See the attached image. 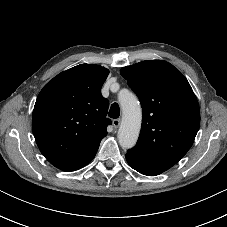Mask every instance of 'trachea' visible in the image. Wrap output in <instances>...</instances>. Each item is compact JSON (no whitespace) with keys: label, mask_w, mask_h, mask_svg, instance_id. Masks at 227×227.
<instances>
[{"label":"trachea","mask_w":227,"mask_h":227,"mask_svg":"<svg viewBox=\"0 0 227 227\" xmlns=\"http://www.w3.org/2000/svg\"><path fill=\"white\" fill-rule=\"evenodd\" d=\"M120 116V108L119 105L117 103H113L110 107L109 110V117L110 118H118Z\"/></svg>","instance_id":"3493384b"}]
</instances>
